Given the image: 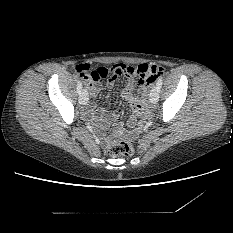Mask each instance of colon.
I'll return each instance as SVG.
<instances>
[{
  "label": "colon",
  "instance_id": "colon-1",
  "mask_svg": "<svg viewBox=\"0 0 233 233\" xmlns=\"http://www.w3.org/2000/svg\"><path fill=\"white\" fill-rule=\"evenodd\" d=\"M121 68L122 74L130 77H137L142 83H151L155 81L163 73V68L159 65H130V64H118ZM77 71L83 77L84 81H100L113 75V69L100 66L89 72V68L86 65H80ZM147 106V95L141 94L140 107ZM133 152V146L128 141H118L113 143L108 153L111 156H128Z\"/></svg>",
  "mask_w": 233,
  "mask_h": 233
}]
</instances>
